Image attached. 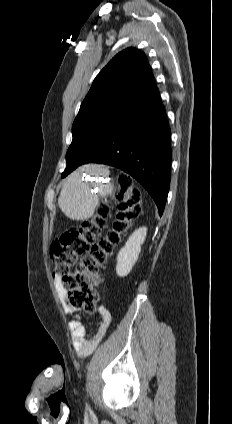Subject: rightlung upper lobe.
Segmentation results:
<instances>
[{
  "mask_svg": "<svg viewBox=\"0 0 232 424\" xmlns=\"http://www.w3.org/2000/svg\"><path fill=\"white\" fill-rule=\"evenodd\" d=\"M158 93L145 54L128 48L118 53L96 76L79 112L104 104L133 106Z\"/></svg>",
  "mask_w": 232,
  "mask_h": 424,
  "instance_id": "1",
  "label": "right lung upper lobe"
}]
</instances>
